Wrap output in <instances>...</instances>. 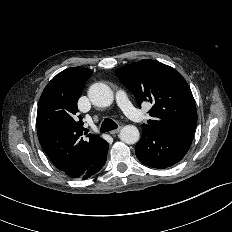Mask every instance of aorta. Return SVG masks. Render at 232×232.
<instances>
[{
	"mask_svg": "<svg viewBox=\"0 0 232 232\" xmlns=\"http://www.w3.org/2000/svg\"><path fill=\"white\" fill-rule=\"evenodd\" d=\"M90 101L97 107H108L112 104L114 96L111 88L104 83H94L88 90ZM139 130L134 125L124 126L119 134L121 141L126 144H135L139 140Z\"/></svg>",
	"mask_w": 232,
	"mask_h": 232,
	"instance_id": "762f6f07",
	"label": "aorta"
}]
</instances>
